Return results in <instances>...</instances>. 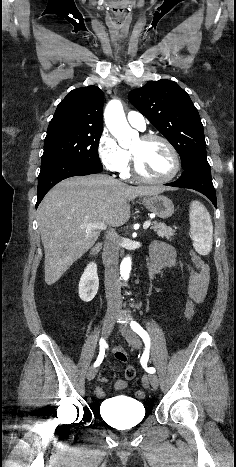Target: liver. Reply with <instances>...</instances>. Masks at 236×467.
Returning a JSON list of instances; mask_svg holds the SVG:
<instances>
[{
	"mask_svg": "<svg viewBox=\"0 0 236 467\" xmlns=\"http://www.w3.org/2000/svg\"><path fill=\"white\" fill-rule=\"evenodd\" d=\"M170 188L129 186L105 175L75 176L52 188L38 207V225L45 251V282L52 285L96 242L100 229L118 227L130 218L129 202Z\"/></svg>",
	"mask_w": 236,
	"mask_h": 467,
	"instance_id": "liver-1",
	"label": "liver"
}]
</instances>
